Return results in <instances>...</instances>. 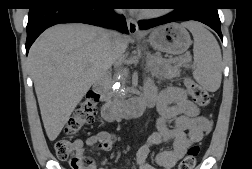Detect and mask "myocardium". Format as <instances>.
I'll return each instance as SVG.
<instances>
[{
    "label": "myocardium",
    "mask_w": 252,
    "mask_h": 169,
    "mask_svg": "<svg viewBox=\"0 0 252 169\" xmlns=\"http://www.w3.org/2000/svg\"><path fill=\"white\" fill-rule=\"evenodd\" d=\"M140 15L145 18H151L157 15L156 12H153L151 10H141Z\"/></svg>",
    "instance_id": "f54148a6"
}]
</instances>
